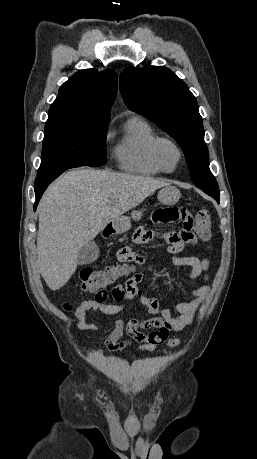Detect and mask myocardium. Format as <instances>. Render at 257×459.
Segmentation results:
<instances>
[{"instance_id": "myocardium-1", "label": "myocardium", "mask_w": 257, "mask_h": 459, "mask_svg": "<svg viewBox=\"0 0 257 459\" xmlns=\"http://www.w3.org/2000/svg\"><path fill=\"white\" fill-rule=\"evenodd\" d=\"M163 143H168L170 145H172L175 150L177 151L178 153V159H177V162H176V165L173 167V168H167L161 157H160V147ZM151 156H152V159L154 161V163L163 171V172H166V173H172L174 171H176L178 169V167L180 166L182 160H183V157H184V153H183V150L182 148L180 147V145L175 141L173 140L172 138H169V137H163V136H158L152 146H151Z\"/></svg>"}]
</instances>
